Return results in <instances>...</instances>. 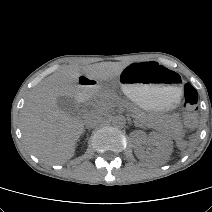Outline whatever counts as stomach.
<instances>
[{"mask_svg": "<svg viewBox=\"0 0 212 212\" xmlns=\"http://www.w3.org/2000/svg\"><path fill=\"white\" fill-rule=\"evenodd\" d=\"M178 76L157 62L127 65L119 75L122 92L145 110L174 107L180 100Z\"/></svg>", "mask_w": 212, "mask_h": 212, "instance_id": "stomach-1", "label": "stomach"}]
</instances>
